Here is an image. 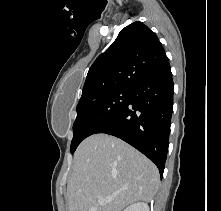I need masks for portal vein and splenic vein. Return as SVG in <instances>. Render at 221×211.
<instances>
[{"label":"portal vein and splenic vein","mask_w":221,"mask_h":211,"mask_svg":"<svg viewBox=\"0 0 221 211\" xmlns=\"http://www.w3.org/2000/svg\"><path fill=\"white\" fill-rule=\"evenodd\" d=\"M112 199H113V197H108V198L100 197V198L98 199V204L103 205V204H105V203L110 202Z\"/></svg>","instance_id":"1"}]
</instances>
